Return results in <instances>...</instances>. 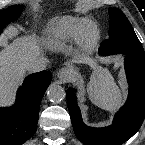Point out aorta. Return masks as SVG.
Instances as JSON below:
<instances>
[{
    "label": "aorta",
    "instance_id": "1",
    "mask_svg": "<svg viewBox=\"0 0 145 145\" xmlns=\"http://www.w3.org/2000/svg\"><path fill=\"white\" fill-rule=\"evenodd\" d=\"M66 96L65 90L58 84H51L47 91L49 101L53 103L61 102Z\"/></svg>",
    "mask_w": 145,
    "mask_h": 145
}]
</instances>
